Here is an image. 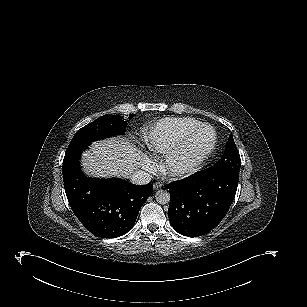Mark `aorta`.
Returning <instances> with one entry per match:
<instances>
[{
  "label": "aorta",
  "mask_w": 307,
  "mask_h": 307,
  "mask_svg": "<svg viewBox=\"0 0 307 307\" xmlns=\"http://www.w3.org/2000/svg\"><path fill=\"white\" fill-rule=\"evenodd\" d=\"M155 199L159 204H168L170 202V193L166 190H159L155 194Z\"/></svg>",
  "instance_id": "aorta-1"
}]
</instances>
